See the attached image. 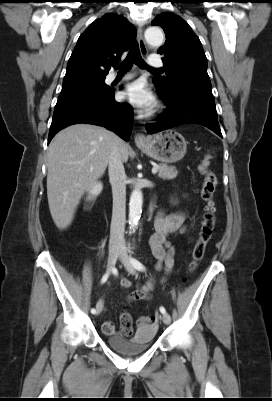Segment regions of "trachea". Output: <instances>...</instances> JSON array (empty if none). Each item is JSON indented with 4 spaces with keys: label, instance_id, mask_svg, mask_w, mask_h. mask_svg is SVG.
I'll use <instances>...</instances> for the list:
<instances>
[{
    "label": "trachea",
    "instance_id": "1",
    "mask_svg": "<svg viewBox=\"0 0 272 401\" xmlns=\"http://www.w3.org/2000/svg\"><path fill=\"white\" fill-rule=\"evenodd\" d=\"M134 63L141 69L148 68L146 62L141 57L137 43L132 45L125 60L119 64H116L114 67L115 69H118L120 73H126L131 69ZM150 70L159 71V69Z\"/></svg>",
    "mask_w": 272,
    "mask_h": 401
}]
</instances>
